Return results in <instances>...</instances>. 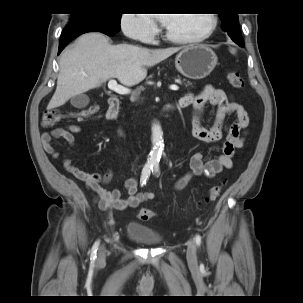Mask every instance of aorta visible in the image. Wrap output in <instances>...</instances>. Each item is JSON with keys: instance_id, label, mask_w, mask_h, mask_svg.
Listing matches in <instances>:
<instances>
[{"instance_id": "aorta-1", "label": "aorta", "mask_w": 303, "mask_h": 303, "mask_svg": "<svg viewBox=\"0 0 303 303\" xmlns=\"http://www.w3.org/2000/svg\"><path fill=\"white\" fill-rule=\"evenodd\" d=\"M152 144L153 149L150 152L147 162L149 165L155 166L159 163L164 148L163 132L158 124H154L152 127Z\"/></svg>"}]
</instances>
